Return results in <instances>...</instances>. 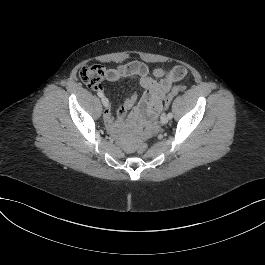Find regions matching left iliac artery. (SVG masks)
Wrapping results in <instances>:
<instances>
[{
	"mask_svg": "<svg viewBox=\"0 0 265 265\" xmlns=\"http://www.w3.org/2000/svg\"><path fill=\"white\" fill-rule=\"evenodd\" d=\"M167 116H168L169 119H172V117H173L171 112H169Z\"/></svg>",
	"mask_w": 265,
	"mask_h": 265,
	"instance_id": "obj_1",
	"label": "left iliac artery"
}]
</instances>
